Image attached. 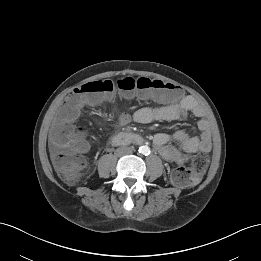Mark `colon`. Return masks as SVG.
Listing matches in <instances>:
<instances>
[{"label": "colon", "mask_w": 261, "mask_h": 261, "mask_svg": "<svg viewBox=\"0 0 261 261\" xmlns=\"http://www.w3.org/2000/svg\"><path fill=\"white\" fill-rule=\"evenodd\" d=\"M115 89L126 95L137 93L141 100L172 101L180 96L179 87L153 78L124 77L116 81L99 79L78 86L63 103L58 112L59 122L52 130L55 144L63 150L54 158V164L61 176L68 182H74L85 166L83 158L88 143L84 132L75 129L70 120L79 112L80 106L87 101H93L99 94H109ZM209 158L200 154L193 158L191 167L177 166L172 169L170 177L172 182L181 187L195 184L206 169Z\"/></svg>", "instance_id": "obj_1"}]
</instances>
